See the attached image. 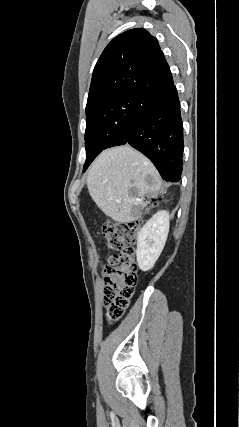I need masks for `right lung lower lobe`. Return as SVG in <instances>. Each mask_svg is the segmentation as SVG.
Here are the masks:
<instances>
[{
  "mask_svg": "<svg viewBox=\"0 0 239 427\" xmlns=\"http://www.w3.org/2000/svg\"><path fill=\"white\" fill-rule=\"evenodd\" d=\"M130 144L148 157L166 181H180L183 156V125L174 83L143 96L131 119L122 144Z\"/></svg>",
  "mask_w": 239,
  "mask_h": 427,
  "instance_id": "1",
  "label": "right lung lower lobe"
}]
</instances>
